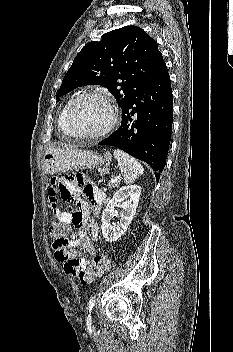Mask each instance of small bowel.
Returning <instances> with one entry per match:
<instances>
[{"mask_svg": "<svg viewBox=\"0 0 233 352\" xmlns=\"http://www.w3.org/2000/svg\"><path fill=\"white\" fill-rule=\"evenodd\" d=\"M48 198L53 218L66 225L69 231L74 228L66 246L62 247L55 241L53 249L55 259L64 264L65 273L76 276L88 264L85 255H95L93 242L98 240L99 228L90 216L99 213L105 194L83 174L68 173L51 179ZM60 201L76 202V208L62 210Z\"/></svg>", "mask_w": 233, "mask_h": 352, "instance_id": "c3829d8e", "label": "small bowel"}]
</instances>
